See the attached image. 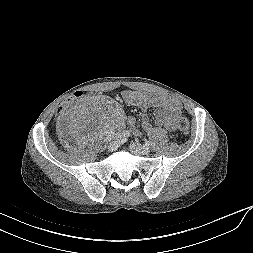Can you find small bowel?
Returning a JSON list of instances; mask_svg holds the SVG:
<instances>
[{
	"label": "small bowel",
	"mask_w": 253,
	"mask_h": 253,
	"mask_svg": "<svg viewBox=\"0 0 253 253\" xmlns=\"http://www.w3.org/2000/svg\"><path fill=\"white\" fill-rule=\"evenodd\" d=\"M126 104L136 106L142 111L153 110L155 113V126L151 123L148 115L142 117V127L149 132L156 128H164L167 131H173L175 122L182 114L181 103L171 97L159 96L151 93L127 90L122 94ZM127 124L134 127L136 120L130 117ZM135 135H139L138 130H134Z\"/></svg>",
	"instance_id": "small-bowel-1"
}]
</instances>
